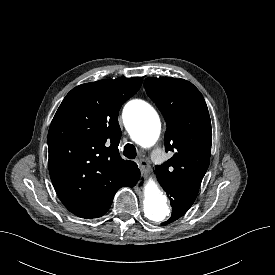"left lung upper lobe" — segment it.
Here are the masks:
<instances>
[{"label":"left lung upper lobe","instance_id":"obj_1","mask_svg":"<svg viewBox=\"0 0 275 275\" xmlns=\"http://www.w3.org/2000/svg\"><path fill=\"white\" fill-rule=\"evenodd\" d=\"M145 89L166 120V151L174 155L156 166L168 183L199 190L208 169L212 128L206 102L189 81L172 77L147 78Z\"/></svg>","mask_w":275,"mask_h":275}]
</instances>
